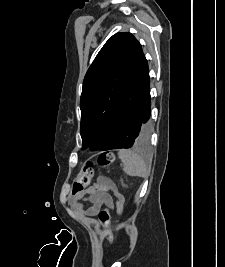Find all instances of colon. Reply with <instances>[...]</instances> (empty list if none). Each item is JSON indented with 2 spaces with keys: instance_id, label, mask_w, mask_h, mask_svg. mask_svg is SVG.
<instances>
[{
  "instance_id": "obj_1",
  "label": "colon",
  "mask_w": 225,
  "mask_h": 267,
  "mask_svg": "<svg viewBox=\"0 0 225 267\" xmlns=\"http://www.w3.org/2000/svg\"><path fill=\"white\" fill-rule=\"evenodd\" d=\"M114 161H115V156L112 152H109V151L101 152L95 160L87 161L83 165V167H82V169L78 175V178H77L76 182L74 183V191L77 193L83 192L89 187L90 182H91L93 175H94L95 166H100V167L106 168V167L111 166L114 163ZM124 204H125L124 198H119L118 207L121 209V211L124 207ZM98 219H99L100 223L105 227L106 237L109 240V243L112 244L113 234L109 228L111 218H110V210H109L108 206H104L99 211Z\"/></svg>"
}]
</instances>
